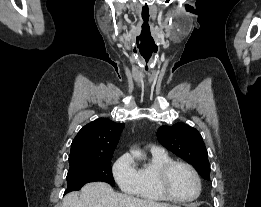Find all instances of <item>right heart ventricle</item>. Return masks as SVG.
Masks as SVG:
<instances>
[{"label": "right heart ventricle", "instance_id": "1", "mask_svg": "<svg viewBox=\"0 0 261 207\" xmlns=\"http://www.w3.org/2000/svg\"><path fill=\"white\" fill-rule=\"evenodd\" d=\"M172 158L164 151H151L147 164L138 169L139 187L136 195L148 201L168 200L160 191L157 181L159 169Z\"/></svg>", "mask_w": 261, "mask_h": 207}]
</instances>
